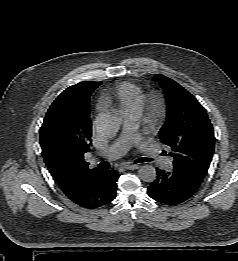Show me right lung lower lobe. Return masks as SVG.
<instances>
[{"label":"right lung lower lobe","mask_w":238,"mask_h":261,"mask_svg":"<svg viewBox=\"0 0 238 261\" xmlns=\"http://www.w3.org/2000/svg\"><path fill=\"white\" fill-rule=\"evenodd\" d=\"M118 178L119 174L116 170H100L85 191L71 201L87 209L106 205L116 197Z\"/></svg>","instance_id":"1"}]
</instances>
